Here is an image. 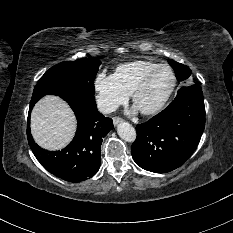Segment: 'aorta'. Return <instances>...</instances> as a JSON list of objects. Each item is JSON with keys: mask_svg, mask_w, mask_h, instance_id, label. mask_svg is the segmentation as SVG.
I'll use <instances>...</instances> for the list:
<instances>
[{"mask_svg": "<svg viewBox=\"0 0 233 233\" xmlns=\"http://www.w3.org/2000/svg\"><path fill=\"white\" fill-rule=\"evenodd\" d=\"M117 133L121 139L127 142H133L136 139V131L134 127L127 122H121L118 125Z\"/></svg>", "mask_w": 233, "mask_h": 233, "instance_id": "obj_1", "label": "aorta"}]
</instances>
